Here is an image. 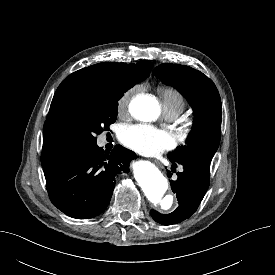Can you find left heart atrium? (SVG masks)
Here are the masks:
<instances>
[{
  "mask_svg": "<svg viewBox=\"0 0 275 275\" xmlns=\"http://www.w3.org/2000/svg\"><path fill=\"white\" fill-rule=\"evenodd\" d=\"M120 138L124 145L145 155H156L175 146L170 133L145 124L124 126Z\"/></svg>",
  "mask_w": 275,
  "mask_h": 275,
  "instance_id": "1",
  "label": "left heart atrium"
}]
</instances>
